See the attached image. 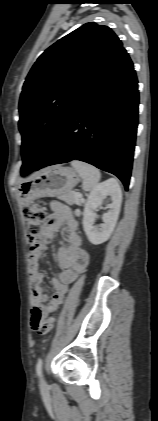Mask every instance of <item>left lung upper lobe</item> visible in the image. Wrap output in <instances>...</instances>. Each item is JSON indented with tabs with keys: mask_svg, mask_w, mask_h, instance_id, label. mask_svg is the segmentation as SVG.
Returning a JSON list of instances; mask_svg holds the SVG:
<instances>
[{
	"mask_svg": "<svg viewBox=\"0 0 158 421\" xmlns=\"http://www.w3.org/2000/svg\"><path fill=\"white\" fill-rule=\"evenodd\" d=\"M121 47L109 27L91 22L54 43L37 59L19 101L21 174L40 163L69 110Z\"/></svg>",
	"mask_w": 158,
	"mask_h": 421,
	"instance_id": "obj_1",
	"label": "left lung upper lobe"
}]
</instances>
